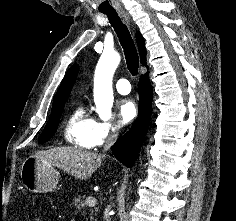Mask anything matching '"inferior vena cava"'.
I'll return each mask as SVG.
<instances>
[{
    "label": "inferior vena cava",
    "instance_id": "602c4592",
    "mask_svg": "<svg viewBox=\"0 0 236 221\" xmlns=\"http://www.w3.org/2000/svg\"><path fill=\"white\" fill-rule=\"evenodd\" d=\"M117 137H118V131L117 130H112V133L109 134V136L107 137V139L105 141L104 152L110 150L111 146L114 144ZM104 221H111L110 216L106 215L104 217Z\"/></svg>",
    "mask_w": 236,
    "mask_h": 221
}]
</instances>
